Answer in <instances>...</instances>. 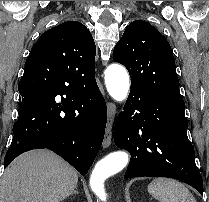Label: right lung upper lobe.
Returning <instances> with one entry per match:
<instances>
[{"label": "right lung upper lobe", "instance_id": "1", "mask_svg": "<svg viewBox=\"0 0 209 202\" xmlns=\"http://www.w3.org/2000/svg\"><path fill=\"white\" fill-rule=\"evenodd\" d=\"M96 46L80 22L68 21L44 32L32 47L24 71L46 69L67 87L84 90L96 83Z\"/></svg>", "mask_w": 209, "mask_h": 202}]
</instances>
